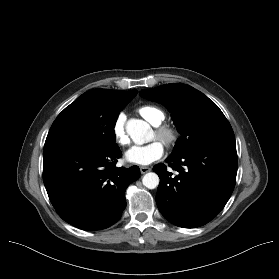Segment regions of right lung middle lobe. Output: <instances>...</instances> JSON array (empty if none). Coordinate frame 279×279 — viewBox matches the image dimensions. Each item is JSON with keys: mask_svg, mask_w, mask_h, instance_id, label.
<instances>
[{"mask_svg": "<svg viewBox=\"0 0 279 279\" xmlns=\"http://www.w3.org/2000/svg\"><path fill=\"white\" fill-rule=\"evenodd\" d=\"M128 103H100L84 93L53 122L44 151L63 146H81L102 152L116 148L114 127L119 112Z\"/></svg>", "mask_w": 279, "mask_h": 279, "instance_id": "obj_1", "label": "right lung middle lobe"}]
</instances>
